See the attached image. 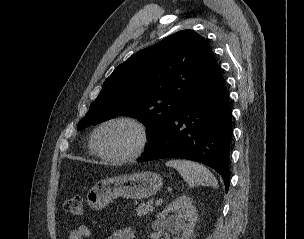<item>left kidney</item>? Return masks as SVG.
<instances>
[{"label":"left kidney","mask_w":304,"mask_h":239,"mask_svg":"<svg viewBox=\"0 0 304 239\" xmlns=\"http://www.w3.org/2000/svg\"><path fill=\"white\" fill-rule=\"evenodd\" d=\"M197 219V210L192 204L191 198L182 195L157 214V220L153 223V228L172 234L182 232L180 239H190Z\"/></svg>","instance_id":"1"}]
</instances>
